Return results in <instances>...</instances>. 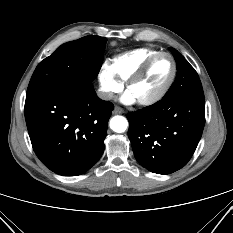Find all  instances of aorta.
<instances>
[{
  "instance_id": "1",
  "label": "aorta",
  "mask_w": 233,
  "mask_h": 233,
  "mask_svg": "<svg viewBox=\"0 0 233 233\" xmlns=\"http://www.w3.org/2000/svg\"><path fill=\"white\" fill-rule=\"evenodd\" d=\"M128 121L123 116H114L110 120V128L117 133H122L127 129Z\"/></svg>"
}]
</instances>
